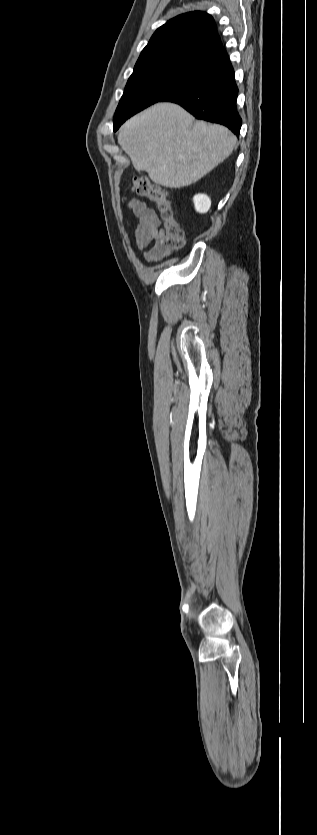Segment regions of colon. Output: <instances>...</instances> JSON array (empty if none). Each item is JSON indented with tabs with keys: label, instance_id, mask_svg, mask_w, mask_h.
Segmentation results:
<instances>
[{
	"label": "colon",
	"instance_id": "obj_1",
	"mask_svg": "<svg viewBox=\"0 0 317 835\" xmlns=\"http://www.w3.org/2000/svg\"><path fill=\"white\" fill-rule=\"evenodd\" d=\"M132 190L137 195L149 199L160 212L163 220V236L158 244L157 251L162 255H168L178 250L183 245L184 232L175 217L172 202L166 191L153 185L145 177L132 178Z\"/></svg>",
	"mask_w": 317,
	"mask_h": 835
}]
</instances>
